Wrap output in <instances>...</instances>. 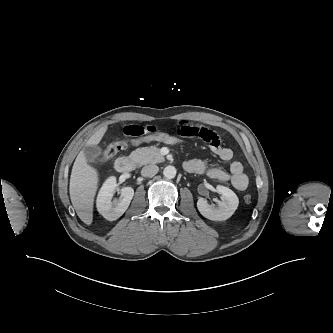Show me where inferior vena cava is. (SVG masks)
<instances>
[{"instance_id":"602c4592","label":"inferior vena cava","mask_w":333,"mask_h":333,"mask_svg":"<svg viewBox=\"0 0 333 333\" xmlns=\"http://www.w3.org/2000/svg\"><path fill=\"white\" fill-rule=\"evenodd\" d=\"M159 171V168L157 165H147L144 166L141 170V174L144 177H152L156 175Z\"/></svg>"}]
</instances>
